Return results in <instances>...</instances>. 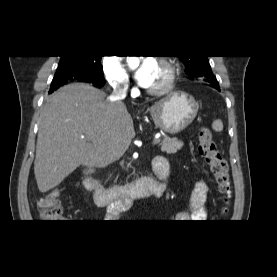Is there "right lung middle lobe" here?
<instances>
[{"instance_id":"right-lung-middle-lobe-1","label":"right lung middle lobe","mask_w":277,"mask_h":277,"mask_svg":"<svg viewBox=\"0 0 277 277\" xmlns=\"http://www.w3.org/2000/svg\"><path fill=\"white\" fill-rule=\"evenodd\" d=\"M102 56H61L57 72L49 92L56 90L68 80L84 77L90 81L103 82L100 61Z\"/></svg>"}]
</instances>
